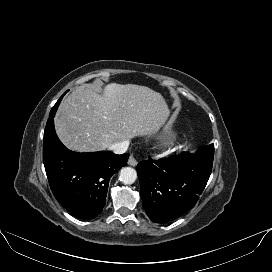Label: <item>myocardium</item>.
Returning a JSON list of instances; mask_svg holds the SVG:
<instances>
[{
    "label": "myocardium",
    "mask_w": 272,
    "mask_h": 272,
    "mask_svg": "<svg viewBox=\"0 0 272 272\" xmlns=\"http://www.w3.org/2000/svg\"><path fill=\"white\" fill-rule=\"evenodd\" d=\"M161 149L163 151L164 154H169L170 152H172L173 150V142L172 140H166L163 142Z\"/></svg>",
    "instance_id": "myocardium-1"
}]
</instances>
